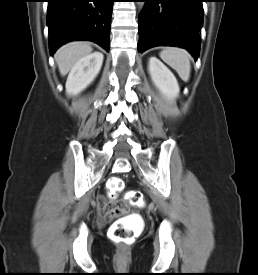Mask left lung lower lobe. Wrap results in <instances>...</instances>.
Masks as SVG:
<instances>
[{
  "label": "left lung lower lobe",
  "instance_id": "left-lung-lower-lobe-1",
  "mask_svg": "<svg viewBox=\"0 0 258 275\" xmlns=\"http://www.w3.org/2000/svg\"><path fill=\"white\" fill-rule=\"evenodd\" d=\"M145 6L139 16L138 51L155 46L187 49L199 56L203 24V0H140Z\"/></svg>",
  "mask_w": 258,
  "mask_h": 275
}]
</instances>
